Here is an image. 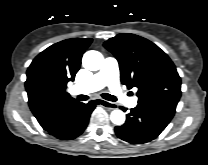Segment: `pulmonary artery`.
I'll return each mask as SVG.
<instances>
[{"label": "pulmonary artery", "instance_id": "pulmonary-artery-1", "mask_svg": "<svg viewBox=\"0 0 208 165\" xmlns=\"http://www.w3.org/2000/svg\"><path fill=\"white\" fill-rule=\"evenodd\" d=\"M104 86H108L113 95L123 104L129 107L136 106L137 98L128 97L119 86V67L115 58H106L102 68L87 81L77 84L76 89L83 93H91Z\"/></svg>", "mask_w": 208, "mask_h": 165}]
</instances>
